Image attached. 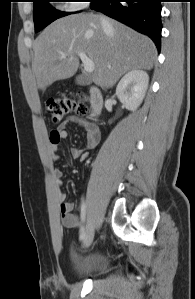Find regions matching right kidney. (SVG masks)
I'll list each match as a JSON object with an SVG mask.
<instances>
[{
	"mask_svg": "<svg viewBox=\"0 0 195 299\" xmlns=\"http://www.w3.org/2000/svg\"><path fill=\"white\" fill-rule=\"evenodd\" d=\"M148 83L149 76L145 71L131 70L119 81L116 95L126 109L135 111L145 97Z\"/></svg>",
	"mask_w": 195,
	"mask_h": 299,
	"instance_id": "right-kidney-1",
	"label": "right kidney"
}]
</instances>
